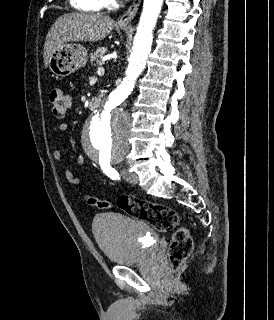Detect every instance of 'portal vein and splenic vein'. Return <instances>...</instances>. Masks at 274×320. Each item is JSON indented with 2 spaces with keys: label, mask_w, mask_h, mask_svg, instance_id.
Listing matches in <instances>:
<instances>
[{
  "label": "portal vein and splenic vein",
  "mask_w": 274,
  "mask_h": 320,
  "mask_svg": "<svg viewBox=\"0 0 274 320\" xmlns=\"http://www.w3.org/2000/svg\"><path fill=\"white\" fill-rule=\"evenodd\" d=\"M97 72H98V74H99V72H104V68H98Z\"/></svg>",
  "instance_id": "obj_1"
}]
</instances>
